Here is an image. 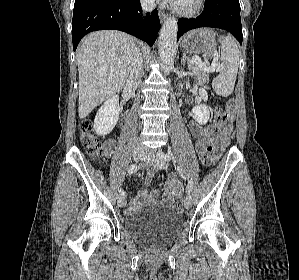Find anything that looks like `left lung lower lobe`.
I'll use <instances>...</instances> for the list:
<instances>
[{
  "mask_svg": "<svg viewBox=\"0 0 299 280\" xmlns=\"http://www.w3.org/2000/svg\"><path fill=\"white\" fill-rule=\"evenodd\" d=\"M199 27H214L229 31L242 43L239 0H205L204 11L194 19L178 21V36Z\"/></svg>",
  "mask_w": 299,
  "mask_h": 280,
  "instance_id": "obj_1",
  "label": "left lung lower lobe"
}]
</instances>
